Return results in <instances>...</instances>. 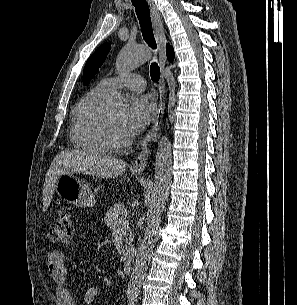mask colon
<instances>
[{
  "label": "colon",
  "mask_w": 297,
  "mask_h": 305,
  "mask_svg": "<svg viewBox=\"0 0 297 305\" xmlns=\"http://www.w3.org/2000/svg\"><path fill=\"white\" fill-rule=\"evenodd\" d=\"M73 234V223L70 212L61 208L52 222L50 235L56 242L65 243Z\"/></svg>",
  "instance_id": "colon-1"
}]
</instances>
